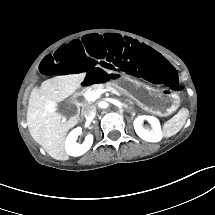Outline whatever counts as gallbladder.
<instances>
[{"label": "gallbladder", "instance_id": "1", "mask_svg": "<svg viewBox=\"0 0 215 215\" xmlns=\"http://www.w3.org/2000/svg\"><path fill=\"white\" fill-rule=\"evenodd\" d=\"M59 113L66 117H72L76 114V104L72 101L64 100L59 104Z\"/></svg>", "mask_w": 215, "mask_h": 215}]
</instances>
